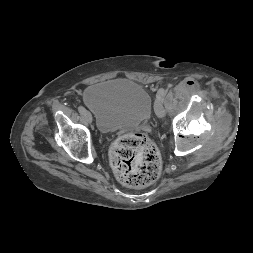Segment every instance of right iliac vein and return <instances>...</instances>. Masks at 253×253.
<instances>
[{
	"label": "right iliac vein",
	"instance_id": "right-iliac-vein-1",
	"mask_svg": "<svg viewBox=\"0 0 253 253\" xmlns=\"http://www.w3.org/2000/svg\"><path fill=\"white\" fill-rule=\"evenodd\" d=\"M85 119H86V122L88 121V123H91L92 122V115L89 111H85L84 114H82Z\"/></svg>",
	"mask_w": 253,
	"mask_h": 253
}]
</instances>
